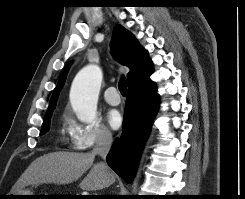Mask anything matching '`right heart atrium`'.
I'll return each mask as SVG.
<instances>
[{
	"instance_id": "right-heart-atrium-1",
	"label": "right heart atrium",
	"mask_w": 245,
	"mask_h": 199,
	"mask_svg": "<svg viewBox=\"0 0 245 199\" xmlns=\"http://www.w3.org/2000/svg\"><path fill=\"white\" fill-rule=\"evenodd\" d=\"M70 143L75 150H88L112 141L111 131L99 120L84 124L71 121L69 125Z\"/></svg>"
}]
</instances>
